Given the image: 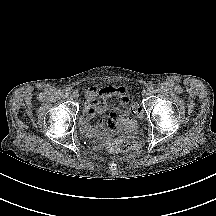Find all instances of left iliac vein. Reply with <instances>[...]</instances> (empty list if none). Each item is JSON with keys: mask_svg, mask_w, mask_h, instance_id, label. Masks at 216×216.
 <instances>
[{"mask_svg": "<svg viewBox=\"0 0 216 216\" xmlns=\"http://www.w3.org/2000/svg\"><path fill=\"white\" fill-rule=\"evenodd\" d=\"M142 95L144 97L148 96L149 95V90H143Z\"/></svg>", "mask_w": 216, "mask_h": 216, "instance_id": "1", "label": "left iliac vein"}]
</instances>
